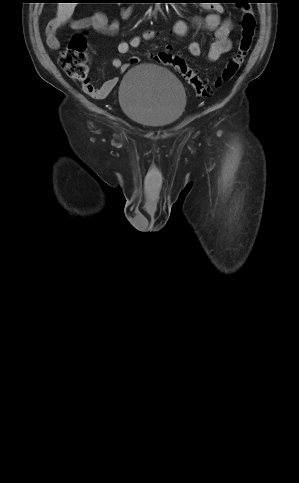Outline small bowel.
Returning a JSON list of instances; mask_svg holds the SVG:
<instances>
[{
	"label": "small bowel",
	"mask_w": 299,
	"mask_h": 483,
	"mask_svg": "<svg viewBox=\"0 0 299 483\" xmlns=\"http://www.w3.org/2000/svg\"><path fill=\"white\" fill-rule=\"evenodd\" d=\"M224 8L221 5L212 4L210 6V12L198 16L195 22L199 25L206 27L213 31V41L211 42L208 52L207 60L211 63L217 62L224 54L228 53L232 48V42L230 40V33L232 25L228 20H222L221 14ZM131 14L130 9L124 8L121 11L123 19H127ZM60 25L59 20H52L46 30L47 44L52 49L59 48V39L57 37V29ZM70 27L73 30H95L105 35H116L120 30L119 20H108V18L102 12H96L91 17L74 20L70 23ZM171 33L178 38H183L188 33V25L184 20L176 21L172 28ZM160 32L155 29L145 30L142 34L136 35L129 40L121 41L118 44V51L121 54H127L132 48L138 47L143 41H152L158 38ZM188 51L193 57H199L202 54L201 46L198 42L192 41L188 44ZM140 59L137 56H132L128 62H122L119 58L112 60V65L120 72H125L131 65L139 63ZM119 78L112 77L106 80L101 86L95 87L91 84V89L83 87L84 91L90 96L96 99L105 98L117 85Z\"/></svg>",
	"instance_id": "1"
}]
</instances>
